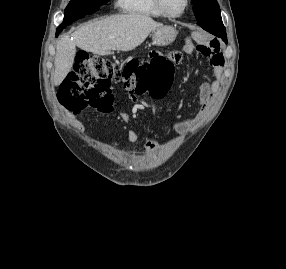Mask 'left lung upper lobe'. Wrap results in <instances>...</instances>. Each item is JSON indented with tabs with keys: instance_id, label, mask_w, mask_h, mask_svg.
Here are the masks:
<instances>
[{
	"instance_id": "5c2ea615",
	"label": "left lung upper lobe",
	"mask_w": 286,
	"mask_h": 269,
	"mask_svg": "<svg viewBox=\"0 0 286 269\" xmlns=\"http://www.w3.org/2000/svg\"><path fill=\"white\" fill-rule=\"evenodd\" d=\"M192 2L198 25L218 37L226 36L217 0H192Z\"/></svg>"
}]
</instances>
